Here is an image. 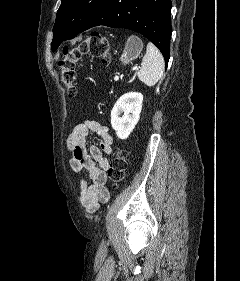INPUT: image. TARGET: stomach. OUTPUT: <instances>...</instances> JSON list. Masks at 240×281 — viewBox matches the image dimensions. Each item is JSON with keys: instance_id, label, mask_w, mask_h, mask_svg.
<instances>
[{"instance_id": "0dacf381", "label": "stomach", "mask_w": 240, "mask_h": 281, "mask_svg": "<svg viewBox=\"0 0 240 281\" xmlns=\"http://www.w3.org/2000/svg\"><path fill=\"white\" fill-rule=\"evenodd\" d=\"M143 48V43L137 36H130L126 43L123 54L120 58L123 65L129 64L131 61L136 59Z\"/></svg>"}]
</instances>
